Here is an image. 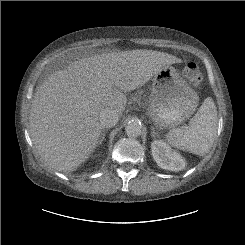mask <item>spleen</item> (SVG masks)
<instances>
[{"instance_id": "spleen-1", "label": "spleen", "mask_w": 245, "mask_h": 245, "mask_svg": "<svg viewBox=\"0 0 245 245\" xmlns=\"http://www.w3.org/2000/svg\"><path fill=\"white\" fill-rule=\"evenodd\" d=\"M217 125V108L212 98L207 97L190 120L189 126L170 130L166 140L177 149L203 156L213 145Z\"/></svg>"}]
</instances>
